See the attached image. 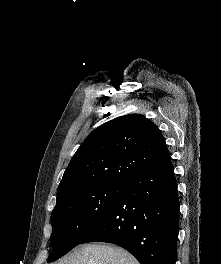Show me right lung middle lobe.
<instances>
[{
  "mask_svg": "<svg viewBox=\"0 0 221 264\" xmlns=\"http://www.w3.org/2000/svg\"><path fill=\"white\" fill-rule=\"evenodd\" d=\"M125 188V182L101 183L74 193L51 214L52 262L80 244L106 217Z\"/></svg>",
  "mask_w": 221,
  "mask_h": 264,
  "instance_id": "dd1d6c3e",
  "label": "right lung middle lobe"
}]
</instances>
